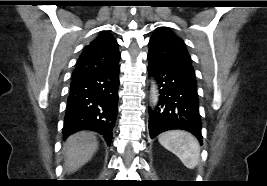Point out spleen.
Wrapping results in <instances>:
<instances>
[{
  "mask_svg": "<svg viewBox=\"0 0 267 186\" xmlns=\"http://www.w3.org/2000/svg\"><path fill=\"white\" fill-rule=\"evenodd\" d=\"M159 143L175 154L188 169H194L200 158V144L190 133L172 130L159 136Z\"/></svg>",
  "mask_w": 267,
  "mask_h": 186,
  "instance_id": "obj_1",
  "label": "spleen"
}]
</instances>
